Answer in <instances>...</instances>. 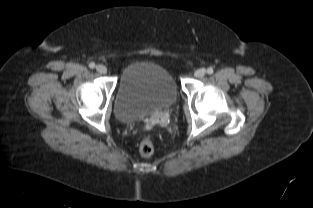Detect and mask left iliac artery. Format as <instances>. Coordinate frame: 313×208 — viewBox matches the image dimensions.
Here are the masks:
<instances>
[{"label":"left iliac artery","instance_id":"left-iliac-artery-1","mask_svg":"<svg viewBox=\"0 0 313 208\" xmlns=\"http://www.w3.org/2000/svg\"><path fill=\"white\" fill-rule=\"evenodd\" d=\"M213 72H214L213 68L209 67V68L207 69V73H208V74H213Z\"/></svg>","mask_w":313,"mask_h":208}]
</instances>
